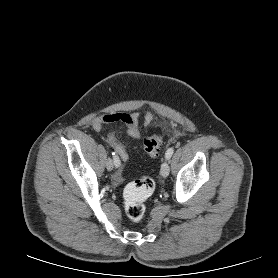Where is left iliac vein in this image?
Returning a JSON list of instances; mask_svg holds the SVG:
<instances>
[{"mask_svg": "<svg viewBox=\"0 0 278 278\" xmlns=\"http://www.w3.org/2000/svg\"><path fill=\"white\" fill-rule=\"evenodd\" d=\"M169 172H170L169 162L164 161L163 164L161 165L160 173H161L162 177L165 178L169 175Z\"/></svg>", "mask_w": 278, "mask_h": 278, "instance_id": "4c4485c4", "label": "left iliac vein"}]
</instances>
